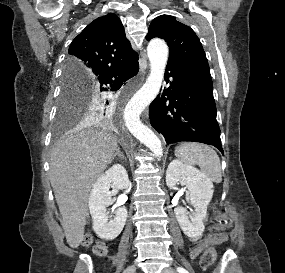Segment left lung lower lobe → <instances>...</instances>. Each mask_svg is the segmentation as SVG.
Listing matches in <instances>:
<instances>
[{"mask_svg": "<svg viewBox=\"0 0 285 273\" xmlns=\"http://www.w3.org/2000/svg\"><path fill=\"white\" fill-rule=\"evenodd\" d=\"M165 80L169 87L150 104L155 130L162 133L167 144L201 142L223 154L212 80L190 75L173 62L167 64Z\"/></svg>", "mask_w": 285, "mask_h": 273, "instance_id": "1", "label": "left lung lower lobe"}]
</instances>
